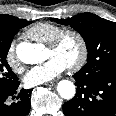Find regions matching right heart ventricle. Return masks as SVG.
I'll return each mask as SVG.
<instances>
[{
  "label": "right heart ventricle",
  "mask_w": 116,
  "mask_h": 116,
  "mask_svg": "<svg viewBox=\"0 0 116 116\" xmlns=\"http://www.w3.org/2000/svg\"><path fill=\"white\" fill-rule=\"evenodd\" d=\"M64 28L60 25L50 22H39L26 31V34L32 40L49 44Z\"/></svg>",
  "instance_id": "obj_1"
}]
</instances>
